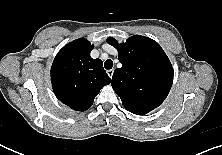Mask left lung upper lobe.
<instances>
[{
	"mask_svg": "<svg viewBox=\"0 0 222 155\" xmlns=\"http://www.w3.org/2000/svg\"><path fill=\"white\" fill-rule=\"evenodd\" d=\"M118 51L122 67L112 77V87L131 113L144 115L160 106L173 83V67L154 40L134 35L125 43L108 38Z\"/></svg>",
	"mask_w": 222,
	"mask_h": 155,
	"instance_id": "5c2ea615",
	"label": "left lung upper lobe"
}]
</instances>
